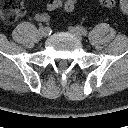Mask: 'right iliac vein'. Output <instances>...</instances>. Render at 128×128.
Instances as JSON below:
<instances>
[{
  "instance_id": "right-iliac-vein-1",
  "label": "right iliac vein",
  "mask_w": 128,
  "mask_h": 128,
  "mask_svg": "<svg viewBox=\"0 0 128 128\" xmlns=\"http://www.w3.org/2000/svg\"><path fill=\"white\" fill-rule=\"evenodd\" d=\"M40 34L42 37H47L50 34V30L48 28H41L40 29Z\"/></svg>"
}]
</instances>
